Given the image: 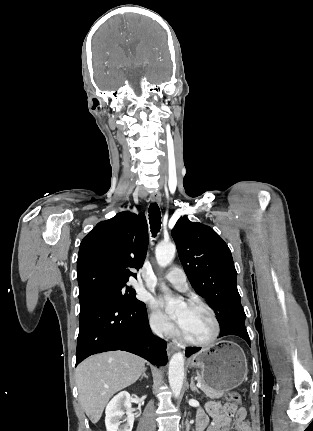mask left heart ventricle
<instances>
[{
  "instance_id": "left-heart-ventricle-1",
  "label": "left heart ventricle",
  "mask_w": 313,
  "mask_h": 431,
  "mask_svg": "<svg viewBox=\"0 0 313 431\" xmlns=\"http://www.w3.org/2000/svg\"><path fill=\"white\" fill-rule=\"evenodd\" d=\"M174 318L182 334L190 340L207 341L214 333L212 318L203 309L182 305L174 312Z\"/></svg>"
}]
</instances>
